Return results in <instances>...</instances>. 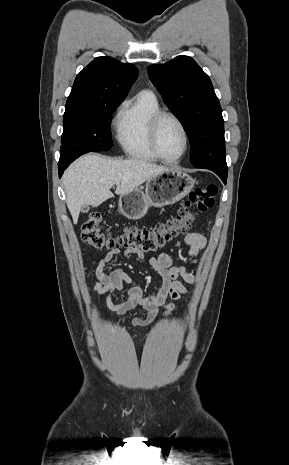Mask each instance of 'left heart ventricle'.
<instances>
[{
  "instance_id": "b2bd125f",
  "label": "left heart ventricle",
  "mask_w": 289,
  "mask_h": 465,
  "mask_svg": "<svg viewBox=\"0 0 289 465\" xmlns=\"http://www.w3.org/2000/svg\"><path fill=\"white\" fill-rule=\"evenodd\" d=\"M184 145V136L179 125L171 118L164 119L159 135V146L163 156L168 159L178 157L182 153Z\"/></svg>"
}]
</instances>
